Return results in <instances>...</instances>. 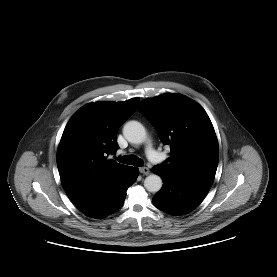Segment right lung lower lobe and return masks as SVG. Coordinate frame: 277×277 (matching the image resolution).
<instances>
[{
	"mask_svg": "<svg viewBox=\"0 0 277 277\" xmlns=\"http://www.w3.org/2000/svg\"><path fill=\"white\" fill-rule=\"evenodd\" d=\"M138 174V168L127 167L93 196L74 204L86 216L102 219L122 206L126 190L136 181Z\"/></svg>",
	"mask_w": 277,
	"mask_h": 277,
	"instance_id": "98d812e1",
	"label": "right lung lower lobe"
}]
</instances>
